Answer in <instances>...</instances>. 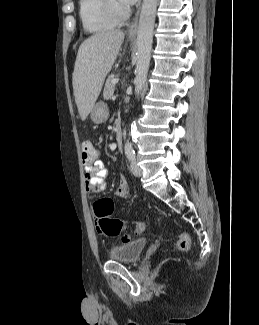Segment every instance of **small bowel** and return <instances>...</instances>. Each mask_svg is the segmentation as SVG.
<instances>
[{"label": "small bowel", "mask_w": 259, "mask_h": 325, "mask_svg": "<svg viewBox=\"0 0 259 325\" xmlns=\"http://www.w3.org/2000/svg\"><path fill=\"white\" fill-rule=\"evenodd\" d=\"M84 163L85 187L89 194H100L106 188L105 179L108 171L104 163L99 159V155L92 162ZM129 195L128 182L124 176L119 178L118 187L115 196L119 198H127ZM99 230V228L97 227Z\"/></svg>", "instance_id": "obj_1"}]
</instances>
